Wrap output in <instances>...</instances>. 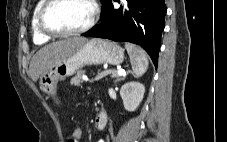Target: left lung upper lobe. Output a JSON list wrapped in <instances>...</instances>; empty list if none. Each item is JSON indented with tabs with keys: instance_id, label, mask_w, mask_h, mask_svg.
<instances>
[{
	"instance_id": "1",
	"label": "left lung upper lobe",
	"mask_w": 227,
	"mask_h": 142,
	"mask_svg": "<svg viewBox=\"0 0 227 142\" xmlns=\"http://www.w3.org/2000/svg\"><path fill=\"white\" fill-rule=\"evenodd\" d=\"M111 0H101L103 7H105Z\"/></svg>"
}]
</instances>
